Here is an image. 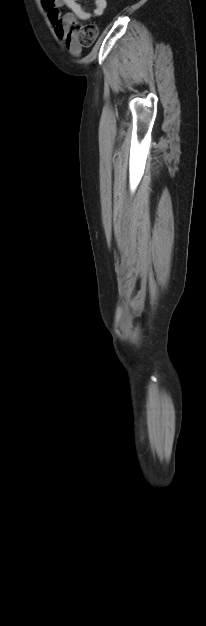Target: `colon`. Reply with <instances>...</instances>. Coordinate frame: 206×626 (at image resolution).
Instances as JSON below:
<instances>
[{"label":"colon","instance_id":"5ec220e1","mask_svg":"<svg viewBox=\"0 0 206 626\" xmlns=\"http://www.w3.org/2000/svg\"><path fill=\"white\" fill-rule=\"evenodd\" d=\"M78 38L82 46L90 47L96 40L98 35V28L95 24H86L81 27H77Z\"/></svg>","mask_w":206,"mask_h":626}]
</instances>
